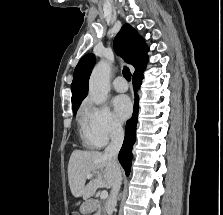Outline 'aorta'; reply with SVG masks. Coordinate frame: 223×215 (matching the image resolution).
I'll list each match as a JSON object with an SVG mask.
<instances>
[{
    "label": "aorta",
    "mask_w": 223,
    "mask_h": 215,
    "mask_svg": "<svg viewBox=\"0 0 223 215\" xmlns=\"http://www.w3.org/2000/svg\"><path fill=\"white\" fill-rule=\"evenodd\" d=\"M111 76V66L105 60H100L93 68L89 80V98L94 104H103L108 92H110L109 80Z\"/></svg>",
    "instance_id": "aorta-1"
}]
</instances>
